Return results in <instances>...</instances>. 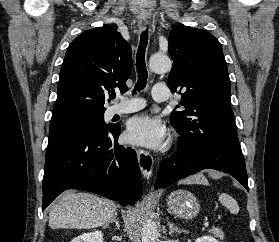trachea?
<instances>
[{"mask_svg":"<svg viewBox=\"0 0 279 242\" xmlns=\"http://www.w3.org/2000/svg\"><path fill=\"white\" fill-rule=\"evenodd\" d=\"M148 44V29L141 33L140 43L136 54V69L138 73V80L134 86L133 92L140 91L145 88L147 84L148 72L145 63V52ZM111 98H115V95Z\"/></svg>","mask_w":279,"mask_h":242,"instance_id":"3493384b","label":"trachea"}]
</instances>
